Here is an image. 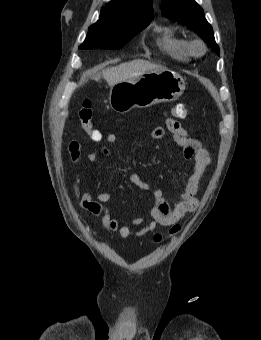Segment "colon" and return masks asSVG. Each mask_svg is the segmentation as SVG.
Listing matches in <instances>:
<instances>
[{
  "instance_id": "colon-1",
  "label": "colon",
  "mask_w": 261,
  "mask_h": 340,
  "mask_svg": "<svg viewBox=\"0 0 261 340\" xmlns=\"http://www.w3.org/2000/svg\"><path fill=\"white\" fill-rule=\"evenodd\" d=\"M188 111L184 104H177L171 109V115L176 118L184 119L187 117ZM93 117H94V110L90 102L84 101L79 109V119L81 125L85 132L88 134L89 138L94 141H100L102 139V134L93 127ZM180 230L179 225H174L170 233L174 234ZM153 240L156 243L161 242L162 235L156 234L153 237Z\"/></svg>"
}]
</instances>
